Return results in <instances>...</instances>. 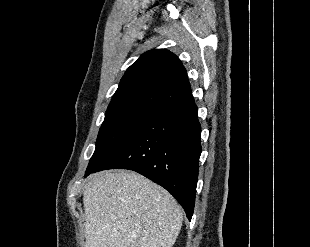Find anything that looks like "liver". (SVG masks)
I'll list each match as a JSON object with an SVG mask.
<instances>
[{
	"label": "liver",
	"mask_w": 310,
	"mask_h": 247,
	"mask_svg": "<svg viewBox=\"0 0 310 247\" xmlns=\"http://www.w3.org/2000/svg\"><path fill=\"white\" fill-rule=\"evenodd\" d=\"M83 203L85 247H172L182 226L176 200L132 171L94 174Z\"/></svg>",
	"instance_id": "obj_1"
}]
</instances>
